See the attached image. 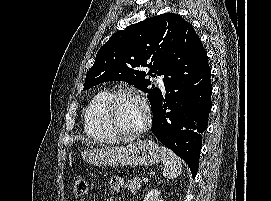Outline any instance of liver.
Instances as JSON below:
<instances>
[{
  "mask_svg": "<svg viewBox=\"0 0 271 201\" xmlns=\"http://www.w3.org/2000/svg\"><path fill=\"white\" fill-rule=\"evenodd\" d=\"M129 140L128 139H122V140H116V141H113L112 143H119V142H128Z\"/></svg>",
  "mask_w": 271,
  "mask_h": 201,
  "instance_id": "obj_1",
  "label": "liver"
}]
</instances>
